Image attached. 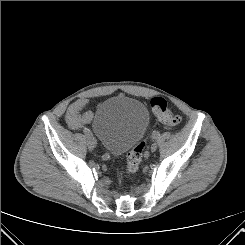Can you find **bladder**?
<instances>
[{
    "mask_svg": "<svg viewBox=\"0 0 245 245\" xmlns=\"http://www.w3.org/2000/svg\"><path fill=\"white\" fill-rule=\"evenodd\" d=\"M148 123L149 114L143 103L116 96L97 107L91 126L102 145L112 154L119 155L142 139Z\"/></svg>",
    "mask_w": 245,
    "mask_h": 245,
    "instance_id": "bladder-1",
    "label": "bladder"
}]
</instances>
